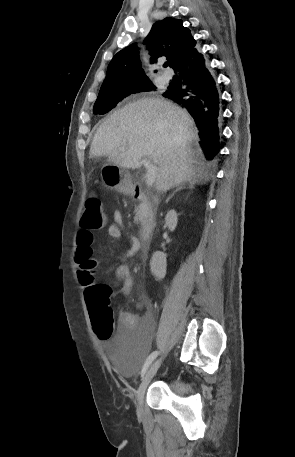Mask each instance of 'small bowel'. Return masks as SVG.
Returning <instances> with one entry per match:
<instances>
[{
    "mask_svg": "<svg viewBox=\"0 0 295 457\" xmlns=\"http://www.w3.org/2000/svg\"><path fill=\"white\" fill-rule=\"evenodd\" d=\"M114 222L107 228L108 236L112 239L119 240L125 234L130 238L131 247L124 255V258L134 257L141 250V243L138 238L129 233L124 225L122 214L116 210L113 214ZM94 242V234L91 230L81 228L77 235L76 259L79 255H86L93 264V268L97 266V261L92 255V244ZM116 284H103L108 289H118L122 296H127L133 287V277L127 264H120L116 269ZM80 278V276H79ZM81 280V278H80ZM96 282V281H95ZM84 286V285H83ZM85 287V286H84ZM119 338H125L129 334L135 332L151 333L154 329V316L151 310L147 309L143 315H135L133 313L120 310L119 311Z\"/></svg>",
    "mask_w": 295,
    "mask_h": 457,
    "instance_id": "1",
    "label": "small bowel"
}]
</instances>
